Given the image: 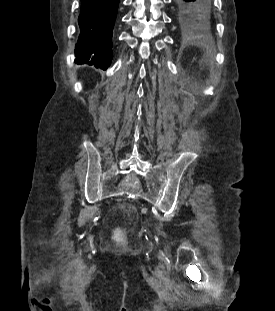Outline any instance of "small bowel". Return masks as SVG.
Listing matches in <instances>:
<instances>
[{
	"instance_id": "1",
	"label": "small bowel",
	"mask_w": 275,
	"mask_h": 311,
	"mask_svg": "<svg viewBox=\"0 0 275 311\" xmlns=\"http://www.w3.org/2000/svg\"><path fill=\"white\" fill-rule=\"evenodd\" d=\"M201 86L202 87H209L210 86V81L209 80H202L201 81Z\"/></svg>"
}]
</instances>
